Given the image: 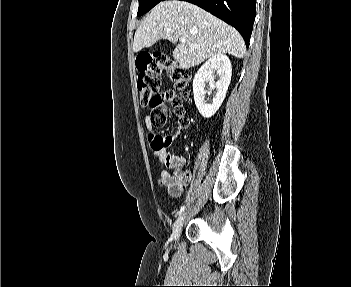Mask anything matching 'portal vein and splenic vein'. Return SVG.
<instances>
[{
    "mask_svg": "<svg viewBox=\"0 0 351 287\" xmlns=\"http://www.w3.org/2000/svg\"><path fill=\"white\" fill-rule=\"evenodd\" d=\"M180 42H186V39L185 38H180ZM191 47H197V45H194V44H190Z\"/></svg>",
    "mask_w": 351,
    "mask_h": 287,
    "instance_id": "obj_1",
    "label": "portal vein and splenic vein"
}]
</instances>
